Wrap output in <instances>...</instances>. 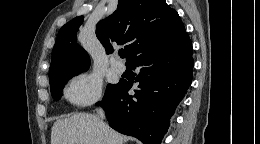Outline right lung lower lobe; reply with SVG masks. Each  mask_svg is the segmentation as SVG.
I'll use <instances>...</instances> for the list:
<instances>
[{"label":"right lung lower lobe","mask_w":260,"mask_h":144,"mask_svg":"<svg viewBox=\"0 0 260 144\" xmlns=\"http://www.w3.org/2000/svg\"><path fill=\"white\" fill-rule=\"evenodd\" d=\"M192 43L186 33L181 39L133 58L139 68L134 95L133 82L120 80L97 105L106 113L116 131L133 136L143 144H160L169 120L192 82L194 60Z\"/></svg>","instance_id":"1"}]
</instances>
